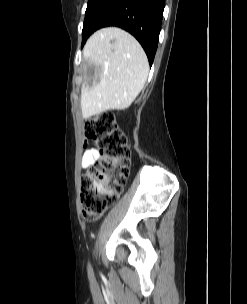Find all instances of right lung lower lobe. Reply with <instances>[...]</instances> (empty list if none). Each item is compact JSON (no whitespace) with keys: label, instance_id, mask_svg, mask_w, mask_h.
I'll use <instances>...</instances> for the list:
<instances>
[{"label":"right lung lower lobe","instance_id":"1","mask_svg":"<svg viewBox=\"0 0 247 304\" xmlns=\"http://www.w3.org/2000/svg\"><path fill=\"white\" fill-rule=\"evenodd\" d=\"M165 0H97L85 16L82 47L96 30L117 26L131 33L152 65L158 46Z\"/></svg>","mask_w":247,"mask_h":304}]
</instances>
